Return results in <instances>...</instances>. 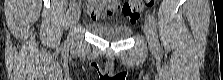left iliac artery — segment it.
I'll list each match as a JSON object with an SVG mask.
<instances>
[{
    "label": "left iliac artery",
    "instance_id": "left-iliac-artery-1",
    "mask_svg": "<svg viewBox=\"0 0 223 80\" xmlns=\"http://www.w3.org/2000/svg\"><path fill=\"white\" fill-rule=\"evenodd\" d=\"M148 20L153 28V31H154V34H155V47L158 51H160V44H159V41H158V37L156 35V22H155V18L153 17L152 14H148Z\"/></svg>",
    "mask_w": 223,
    "mask_h": 80
}]
</instances>
